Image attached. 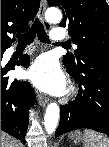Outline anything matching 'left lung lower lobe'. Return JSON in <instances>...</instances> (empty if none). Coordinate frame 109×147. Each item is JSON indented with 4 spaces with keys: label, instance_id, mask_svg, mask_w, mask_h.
<instances>
[{
    "label": "left lung lower lobe",
    "instance_id": "obj_1",
    "mask_svg": "<svg viewBox=\"0 0 109 147\" xmlns=\"http://www.w3.org/2000/svg\"><path fill=\"white\" fill-rule=\"evenodd\" d=\"M77 70H69L79 93L73 102L61 106L55 138L80 128L93 129L109 136V56L87 53Z\"/></svg>",
    "mask_w": 109,
    "mask_h": 147
}]
</instances>
